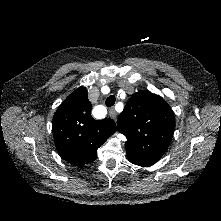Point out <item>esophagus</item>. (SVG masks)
I'll return each mask as SVG.
<instances>
[{
    "mask_svg": "<svg viewBox=\"0 0 221 221\" xmlns=\"http://www.w3.org/2000/svg\"><path fill=\"white\" fill-rule=\"evenodd\" d=\"M109 116L113 119V120H117V113L115 111V109L113 107H111L109 109Z\"/></svg>",
    "mask_w": 221,
    "mask_h": 221,
    "instance_id": "obj_1",
    "label": "esophagus"
}]
</instances>
